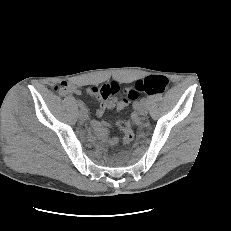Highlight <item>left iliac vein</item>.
<instances>
[{"instance_id":"left-iliac-vein-1","label":"left iliac vein","mask_w":231,"mask_h":231,"mask_svg":"<svg viewBox=\"0 0 231 231\" xmlns=\"http://www.w3.org/2000/svg\"><path fill=\"white\" fill-rule=\"evenodd\" d=\"M139 114L145 116L147 114V108L144 104H142L139 108Z\"/></svg>"}]
</instances>
